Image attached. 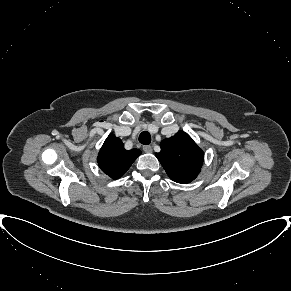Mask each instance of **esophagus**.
Here are the masks:
<instances>
[{
	"mask_svg": "<svg viewBox=\"0 0 291 291\" xmlns=\"http://www.w3.org/2000/svg\"><path fill=\"white\" fill-rule=\"evenodd\" d=\"M143 150L146 153H151L152 152V147L150 145H145V146H143Z\"/></svg>",
	"mask_w": 291,
	"mask_h": 291,
	"instance_id": "34e87169",
	"label": "esophagus"
}]
</instances>
